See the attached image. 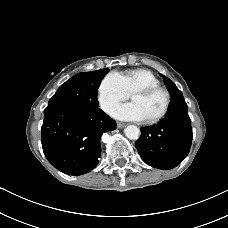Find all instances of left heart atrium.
Returning <instances> with one entry per match:
<instances>
[{"label": "left heart atrium", "instance_id": "39dd6f15", "mask_svg": "<svg viewBox=\"0 0 228 228\" xmlns=\"http://www.w3.org/2000/svg\"><path fill=\"white\" fill-rule=\"evenodd\" d=\"M110 114L116 119L125 121L145 120L141 109L137 104L133 102L115 106L114 108H112Z\"/></svg>", "mask_w": 228, "mask_h": 228}]
</instances>
